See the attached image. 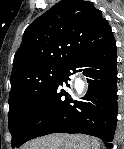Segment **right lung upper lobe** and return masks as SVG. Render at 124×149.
<instances>
[{
  "mask_svg": "<svg viewBox=\"0 0 124 149\" xmlns=\"http://www.w3.org/2000/svg\"><path fill=\"white\" fill-rule=\"evenodd\" d=\"M112 38L107 20L91 2L61 0L27 27L14 56L11 87L38 69L64 68Z\"/></svg>",
  "mask_w": 124,
  "mask_h": 149,
  "instance_id": "right-lung-upper-lobe-1",
  "label": "right lung upper lobe"
}]
</instances>
